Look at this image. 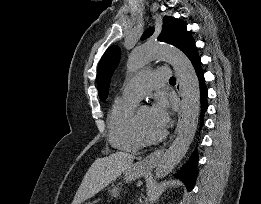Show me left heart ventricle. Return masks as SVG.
<instances>
[{
	"label": "left heart ventricle",
	"mask_w": 261,
	"mask_h": 204,
	"mask_svg": "<svg viewBox=\"0 0 261 204\" xmlns=\"http://www.w3.org/2000/svg\"><path fill=\"white\" fill-rule=\"evenodd\" d=\"M139 120L142 126L151 134H158L159 131L153 124L152 116H151V109L149 107L142 108L138 113Z\"/></svg>",
	"instance_id": "left-heart-ventricle-1"
}]
</instances>
